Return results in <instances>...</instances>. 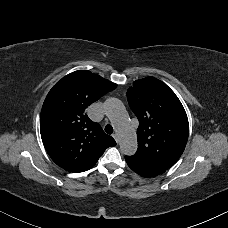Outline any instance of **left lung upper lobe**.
Returning <instances> with one entry per match:
<instances>
[{
  "mask_svg": "<svg viewBox=\"0 0 228 228\" xmlns=\"http://www.w3.org/2000/svg\"><path fill=\"white\" fill-rule=\"evenodd\" d=\"M127 98L139 120L138 149L133 157L170 168L182 155L189 134L188 118L180 100L154 77L135 81Z\"/></svg>",
  "mask_w": 228,
  "mask_h": 228,
  "instance_id": "1",
  "label": "left lung upper lobe"
}]
</instances>
